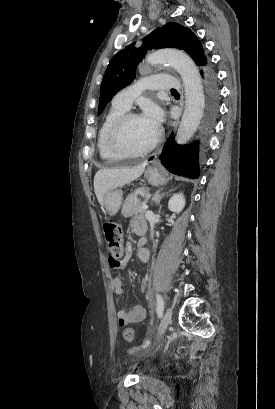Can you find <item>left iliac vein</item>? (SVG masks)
Wrapping results in <instances>:
<instances>
[{"instance_id":"1","label":"left iliac vein","mask_w":275,"mask_h":409,"mask_svg":"<svg viewBox=\"0 0 275 409\" xmlns=\"http://www.w3.org/2000/svg\"><path fill=\"white\" fill-rule=\"evenodd\" d=\"M171 320H172V308L168 307L157 329L158 338L162 337L163 334L166 332V329L170 325Z\"/></svg>"}]
</instances>
